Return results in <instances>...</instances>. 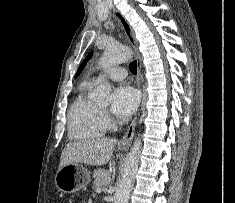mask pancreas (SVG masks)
Wrapping results in <instances>:
<instances>
[{
	"mask_svg": "<svg viewBox=\"0 0 235 203\" xmlns=\"http://www.w3.org/2000/svg\"><path fill=\"white\" fill-rule=\"evenodd\" d=\"M94 183L93 188L96 190L97 188L106 186L109 184L111 180V174L106 169H97L93 172Z\"/></svg>",
	"mask_w": 235,
	"mask_h": 203,
	"instance_id": "cf45deb5",
	"label": "pancreas"
}]
</instances>
